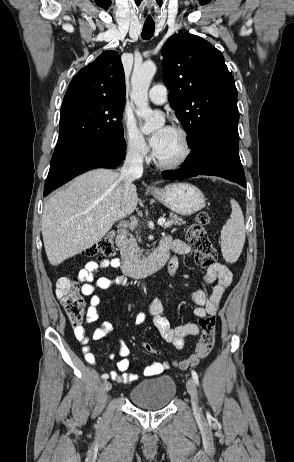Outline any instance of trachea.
<instances>
[{"instance_id": "3493384b", "label": "trachea", "mask_w": 294, "mask_h": 462, "mask_svg": "<svg viewBox=\"0 0 294 462\" xmlns=\"http://www.w3.org/2000/svg\"><path fill=\"white\" fill-rule=\"evenodd\" d=\"M155 24L153 22H145L141 33L144 40H149L154 35Z\"/></svg>"}]
</instances>
